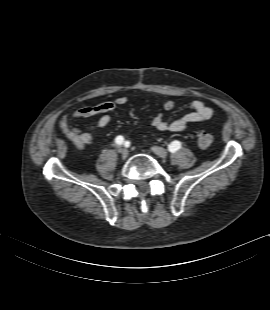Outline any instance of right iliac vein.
Listing matches in <instances>:
<instances>
[{
    "mask_svg": "<svg viewBox=\"0 0 270 310\" xmlns=\"http://www.w3.org/2000/svg\"><path fill=\"white\" fill-rule=\"evenodd\" d=\"M122 158L125 159L128 156V150L126 148H123L122 150H120Z\"/></svg>",
    "mask_w": 270,
    "mask_h": 310,
    "instance_id": "63e3f726",
    "label": "right iliac vein"
}]
</instances>
